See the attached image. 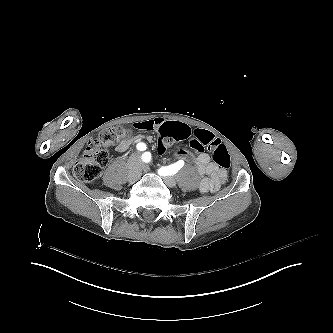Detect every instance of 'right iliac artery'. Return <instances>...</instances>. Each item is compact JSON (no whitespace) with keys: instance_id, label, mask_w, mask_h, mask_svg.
Returning <instances> with one entry per match:
<instances>
[{"instance_id":"82829eb1","label":"right iliac artery","mask_w":333,"mask_h":333,"mask_svg":"<svg viewBox=\"0 0 333 333\" xmlns=\"http://www.w3.org/2000/svg\"><path fill=\"white\" fill-rule=\"evenodd\" d=\"M137 149L140 151H144V150H146V145L144 143H138Z\"/></svg>"}]
</instances>
